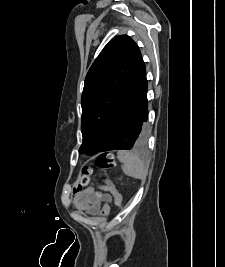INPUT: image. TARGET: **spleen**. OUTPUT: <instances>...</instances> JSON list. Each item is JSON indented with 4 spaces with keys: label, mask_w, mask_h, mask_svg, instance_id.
I'll list each match as a JSON object with an SVG mask.
<instances>
[{
    "label": "spleen",
    "mask_w": 225,
    "mask_h": 267,
    "mask_svg": "<svg viewBox=\"0 0 225 267\" xmlns=\"http://www.w3.org/2000/svg\"><path fill=\"white\" fill-rule=\"evenodd\" d=\"M118 160L123 164V172L125 175L134 179L145 180L148 170L143 161L134 153L121 150L117 154Z\"/></svg>",
    "instance_id": "3e777b00"
}]
</instances>
